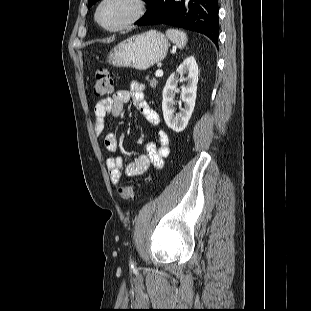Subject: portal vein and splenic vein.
I'll return each instance as SVG.
<instances>
[{"instance_id":"obj_1","label":"portal vein and splenic vein","mask_w":311,"mask_h":311,"mask_svg":"<svg viewBox=\"0 0 311 311\" xmlns=\"http://www.w3.org/2000/svg\"><path fill=\"white\" fill-rule=\"evenodd\" d=\"M155 75H156L157 77H162V76H163V71H162L161 69H158V70L156 71Z\"/></svg>"}]
</instances>
